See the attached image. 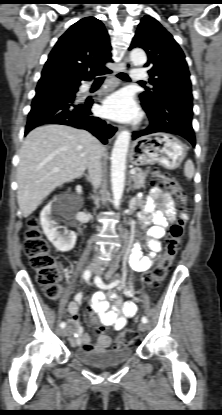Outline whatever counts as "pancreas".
<instances>
[{"label": "pancreas", "instance_id": "pancreas-1", "mask_svg": "<svg viewBox=\"0 0 222 415\" xmlns=\"http://www.w3.org/2000/svg\"><path fill=\"white\" fill-rule=\"evenodd\" d=\"M136 173L132 175L134 181V188L140 189L144 187L147 172L142 171L140 168H135Z\"/></svg>", "mask_w": 222, "mask_h": 415}]
</instances>
